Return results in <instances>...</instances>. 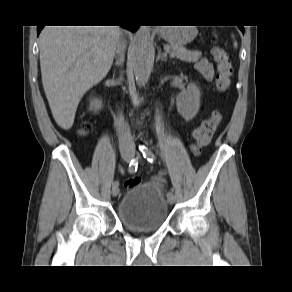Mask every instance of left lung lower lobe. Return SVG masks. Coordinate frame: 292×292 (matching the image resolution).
<instances>
[{"mask_svg": "<svg viewBox=\"0 0 292 292\" xmlns=\"http://www.w3.org/2000/svg\"><path fill=\"white\" fill-rule=\"evenodd\" d=\"M240 30L244 33V27L243 26H239Z\"/></svg>", "mask_w": 292, "mask_h": 292, "instance_id": "obj_1", "label": "left lung lower lobe"}]
</instances>
